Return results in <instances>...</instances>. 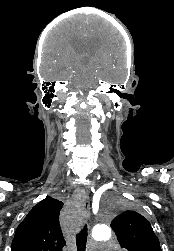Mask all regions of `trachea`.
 Returning a JSON list of instances; mask_svg holds the SVG:
<instances>
[{"label":"trachea","instance_id":"trachea-1","mask_svg":"<svg viewBox=\"0 0 174 251\" xmlns=\"http://www.w3.org/2000/svg\"><path fill=\"white\" fill-rule=\"evenodd\" d=\"M87 225L83 227V229L76 236V244L78 251H85L86 243H87Z\"/></svg>","mask_w":174,"mask_h":251}]
</instances>
